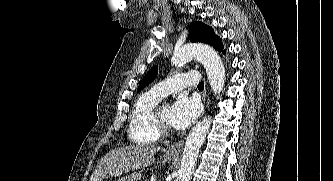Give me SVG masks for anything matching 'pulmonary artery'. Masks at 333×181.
I'll return each instance as SVG.
<instances>
[{
  "label": "pulmonary artery",
  "mask_w": 333,
  "mask_h": 181,
  "mask_svg": "<svg viewBox=\"0 0 333 181\" xmlns=\"http://www.w3.org/2000/svg\"><path fill=\"white\" fill-rule=\"evenodd\" d=\"M199 80L200 75L198 72L177 74L156 83L151 91L164 98L168 94L177 93L185 87L197 85Z\"/></svg>",
  "instance_id": "e3ab8cb5"
}]
</instances>
